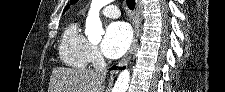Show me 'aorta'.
I'll return each mask as SVG.
<instances>
[{
  "instance_id": "obj_1",
  "label": "aorta",
  "mask_w": 225,
  "mask_h": 92,
  "mask_svg": "<svg viewBox=\"0 0 225 92\" xmlns=\"http://www.w3.org/2000/svg\"><path fill=\"white\" fill-rule=\"evenodd\" d=\"M111 0H92L91 7L86 18L85 34L91 41H99L104 33L102 23L99 17V11L102 7L110 3ZM130 81V72L122 71L114 85L113 92H126Z\"/></svg>"
}]
</instances>
